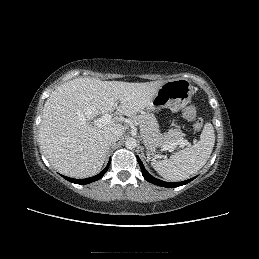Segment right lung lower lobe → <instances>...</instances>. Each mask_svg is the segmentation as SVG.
I'll return each instance as SVG.
<instances>
[{"label":"right lung lower lobe","mask_w":259,"mask_h":259,"mask_svg":"<svg viewBox=\"0 0 259 259\" xmlns=\"http://www.w3.org/2000/svg\"><path fill=\"white\" fill-rule=\"evenodd\" d=\"M109 165H110V160L106 166V168L101 171L99 174H97L96 176H93V177H90V178H86V179H73V178H69V177H66V176H62L64 177L66 180L72 182V183H75V184H88V183H91V182H94L100 178L103 177V175L107 172L108 168H109Z\"/></svg>","instance_id":"98d812e1"}]
</instances>
